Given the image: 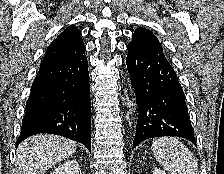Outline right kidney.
Listing matches in <instances>:
<instances>
[{
  "instance_id": "1",
  "label": "right kidney",
  "mask_w": 224,
  "mask_h": 174,
  "mask_svg": "<svg viewBox=\"0 0 224 174\" xmlns=\"http://www.w3.org/2000/svg\"><path fill=\"white\" fill-rule=\"evenodd\" d=\"M50 174H82L76 160H68L54 169Z\"/></svg>"
}]
</instances>
